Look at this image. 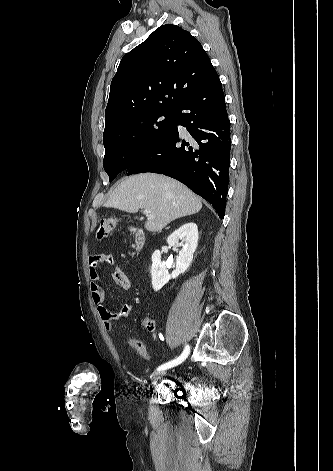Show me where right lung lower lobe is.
Masks as SVG:
<instances>
[{
	"mask_svg": "<svg viewBox=\"0 0 333 471\" xmlns=\"http://www.w3.org/2000/svg\"><path fill=\"white\" fill-rule=\"evenodd\" d=\"M177 125L191 137L182 139ZM230 126L219 77L174 112L172 127L131 167L128 175L164 174L179 180L224 217L229 184Z\"/></svg>",
	"mask_w": 333,
	"mask_h": 471,
	"instance_id": "obj_1",
	"label": "right lung lower lobe"
}]
</instances>
